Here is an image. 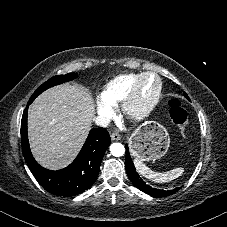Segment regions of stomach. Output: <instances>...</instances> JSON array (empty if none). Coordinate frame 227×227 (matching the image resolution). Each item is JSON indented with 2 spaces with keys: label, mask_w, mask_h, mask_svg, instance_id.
Wrapping results in <instances>:
<instances>
[{
  "label": "stomach",
  "mask_w": 227,
  "mask_h": 227,
  "mask_svg": "<svg viewBox=\"0 0 227 227\" xmlns=\"http://www.w3.org/2000/svg\"><path fill=\"white\" fill-rule=\"evenodd\" d=\"M170 145L169 134L156 121H148L139 126L129 138L130 152L140 161H151L166 154Z\"/></svg>",
  "instance_id": "obj_1"
}]
</instances>
